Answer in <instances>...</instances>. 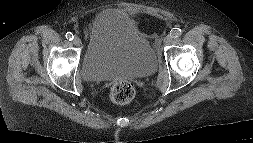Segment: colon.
Instances as JSON below:
<instances>
[{
  "label": "colon",
  "instance_id": "colon-1",
  "mask_svg": "<svg viewBox=\"0 0 253 143\" xmlns=\"http://www.w3.org/2000/svg\"><path fill=\"white\" fill-rule=\"evenodd\" d=\"M135 96L134 86L126 80H119L113 83L109 90V98L117 104H127Z\"/></svg>",
  "mask_w": 253,
  "mask_h": 143
}]
</instances>
